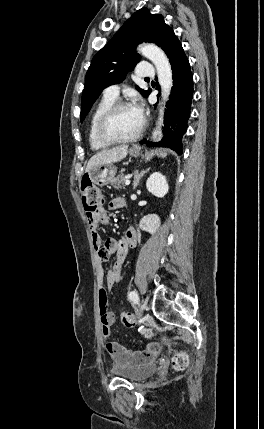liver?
Returning a JSON list of instances; mask_svg holds the SVG:
<instances>
[{"label": "liver", "instance_id": "obj_1", "mask_svg": "<svg viewBox=\"0 0 264 429\" xmlns=\"http://www.w3.org/2000/svg\"><path fill=\"white\" fill-rule=\"evenodd\" d=\"M127 153L128 145H122L98 152L88 161L86 172H89L92 168L98 165L119 162L127 156Z\"/></svg>", "mask_w": 264, "mask_h": 429}]
</instances>
